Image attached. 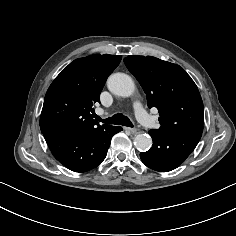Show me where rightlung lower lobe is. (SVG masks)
<instances>
[{
	"label": "right lung lower lobe",
	"instance_id": "1",
	"mask_svg": "<svg viewBox=\"0 0 236 236\" xmlns=\"http://www.w3.org/2000/svg\"><path fill=\"white\" fill-rule=\"evenodd\" d=\"M121 130L105 125L91 131L50 134L45 140L54 157L66 168L85 172L102 163L112 136Z\"/></svg>",
	"mask_w": 236,
	"mask_h": 236
}]
</instances>
